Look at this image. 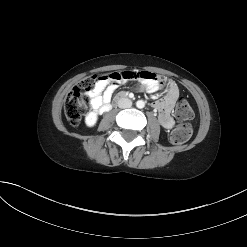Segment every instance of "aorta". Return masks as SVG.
Masks as SVG:
<instances>
[{"instance_id":"762f6f07","label":"aorta","mask_w":247,"mask_h":247,"mask_svg":"<svg viewBox=\"0 0 247 247\" xmlns=\"http://www.w3.org/2000/svg\"><path fill=\"white\" fill-rule=\"evenodd\" d=\"M136 106H137V108L142 109L145 107V102L143 100H138L136 102Z\"/></svg>"}]
</instances>
